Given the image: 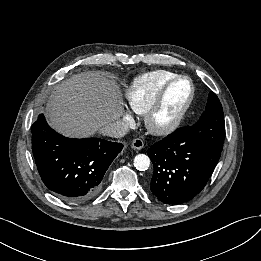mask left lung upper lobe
<instances>
[{
    "label": "left lung upper lobe",
    "mask_w": 261,
    "mask_h": 261,
    "mask_svg": "<svg viewBox=\"0 0 261 261\" xmlns=\"http://www.w3.org/2000/svg\"><path fill=\"white\" fill-rule=\"evenodd\" d=\"M196 132V142L221 152L225 139V122L221 103L215 93L208 97L205 112L193 125Z\"/></svg>",
    "instance_id": "1"
}]
</instances>
